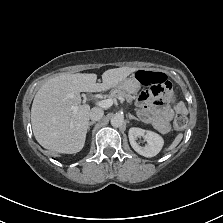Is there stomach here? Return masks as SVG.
Listing matches in <instances>:
<instances>
[{"instance_id":"obj_1","label":"stomach","mask_w":223,"mask_h":223,"mask_svg":"<svg viewBox=\"0 0 223 223\" xmlns=\"http://www.w3.org/2000/svg\"><path fill=\"white\" fill-rule=\"evenodd\" d=\"M140 80H133L131 78H127V79H124L122 80L121 82L118 83V85L116 87H120L122 89H126L128 90L129 92L131 91H135L137 92L139 89H140Z\"/></svg>"}]
</instances>
